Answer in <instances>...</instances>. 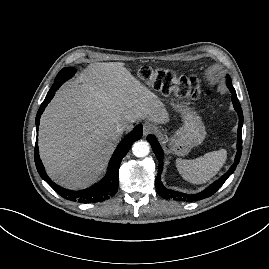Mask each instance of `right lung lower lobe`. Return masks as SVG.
Returning <instances> with one entry per match:
<instances>
[{"label":"right lung lower lobe","mask_w":269,"mask_h":269,"mask_svg":"<svg viewBox=\"0 0 269 269\" xmlns=\"http://www.w3.org/2000/svg\"><path fill=\"white\" fill-rule=\"evenodd\" d=\"M62 81L57 80L54 82L53 86L47 93V96L43 103L41 104L37 115H36V127L37 131L39 128L40 118L41 115L47 106V104L51 101L55 92L60 88L62 85ZM142 137V125L136 126L131 133H129L118 145L116 148L113 156L110 159L108 171L105 178L97 183L96 185L81 191H70L64 189L53 181L47 176L42 161L39 157V150L36 140L35 151H34V158L35 164L38 173L60 196L65 199L76 201L80 203H91V202H101L104 201L114 194H116L118 189V182H119V167L123 157L127 154L130 147L132 146L133 142L139 140Z\"/></svg>","instance_id":"1"}]
</instances>
